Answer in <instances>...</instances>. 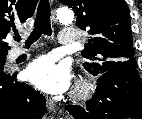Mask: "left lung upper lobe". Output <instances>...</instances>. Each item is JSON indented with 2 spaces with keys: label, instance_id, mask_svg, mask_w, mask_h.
<instances>
[{
  "label": "left lung upper lobe",
  "instance_id": "1",
  "mask_svg": "<svg viewBox=\"0 0 142 119\" xmlns=\"http://www.w3.org/2000/svg\"><path fill=\"white\" fill-rule=\"evenodd\" d=\"M77 15L76 25L91 37L82 56L94 76L121 68L137 67L132 43L129 8L125 0H60Z\"/></svg>",
  "mask_w": 142,
  "mask_h": 119
}]
</instances>
